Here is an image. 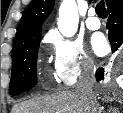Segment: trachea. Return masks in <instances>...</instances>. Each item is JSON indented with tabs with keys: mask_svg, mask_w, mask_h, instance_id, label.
<instances>
[{
	"mask_svg": "<svg viewBox=\"0 0 123 113\" xmlns=\"http://www.w3.org/2000/svg\"><path fill=\"white\" fill-rule=\"evenodd\" d=\"M96 13L100 18L107 17V11L105 8V3L103 0H101L97 5H96Z\"/></svg>",
	"mask_w": 123,
	"mask_h": 113,
	"instance_id": "trachea-1",
	"label": "trachea"
}]
</instances>
